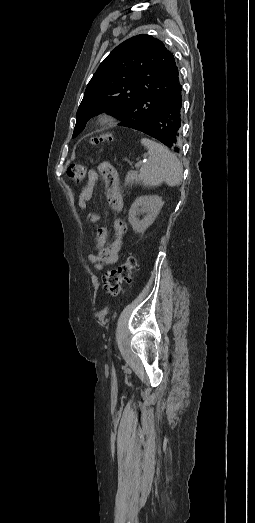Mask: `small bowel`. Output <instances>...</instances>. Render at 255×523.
Masks as SVG:
<instances>
[{
    "label": "small bowel",
    "instance_id": "obj_1",
    "mask_svg": "<svg viewBox=\"0 0 255 523\" xmlns=\"http://www.w3.org/2000/svg\"><path fill=\"white\" fill-rule=\"evenodd\" d=\"M100 173L103 175L106 182V197L111 208L117 213L122 212L124 204L120 193L118 174L107 162L101 163L96 168L89 170L87 183L82 188L78 198L79 208L82 210L87 209L88 202L92 198ZM88 219L91 223H98L100 221V216L96 213H90ZM126 229L127 226L123 220H115L114 231L116 237L110 244H107L108 232L106 228L100 227L97 229L95 238L97 252L87 249V259L95 269L103 270L106 265L115 264L119 260V253L126 234Z\"/></svg>",
    "mask_w": 255,
    "mask_h": 523
}]
</instances>
